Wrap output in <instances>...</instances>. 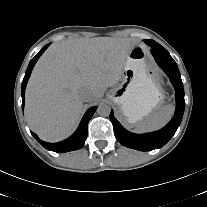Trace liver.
Returning a JSON list of instances; mask_svg holds the SVG:
<instances>
[{"label": "liver", "instance_id": "obj_1", "mask_svg": "<svg viewBox=\"0 0 207 207\" xmlns=\"http://www.w3.org/2000/svg\"><path fill=\"white\" fill-rule=\"evenodd\" d=\"M131 38H79L51 45L35 65L26 88L25 116L42 140L58 142L76 129L83 103L103 97L116 85L130 50ZM83 92L90 98L84 101Z\"/></svg>", "mask_w": 207, "mask_h": 207}]
</instances>
